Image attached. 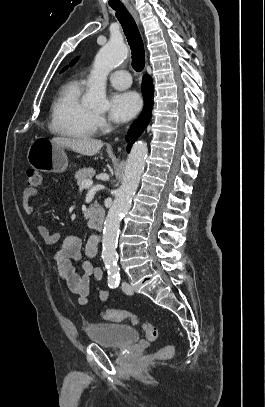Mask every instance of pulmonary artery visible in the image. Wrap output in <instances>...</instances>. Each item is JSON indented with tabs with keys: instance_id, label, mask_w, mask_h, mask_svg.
<instances>
[{
	"instance_id": "obj_1",
	"label": "pulmonary artery",
	"mask_w": 265,
	"mask_h": 407,
	"mask_svg": "<svg viewBox=\"0 0 265 407\" xmlns=\"http://www.w3.org/2000/svg\"><path fill=\"white\" fill-rule=\"evenodd\" d=\"M110 83L118 89H126L131 85V76L126 70H117L109 75Z\"/></svg>"
}]
</instances>
